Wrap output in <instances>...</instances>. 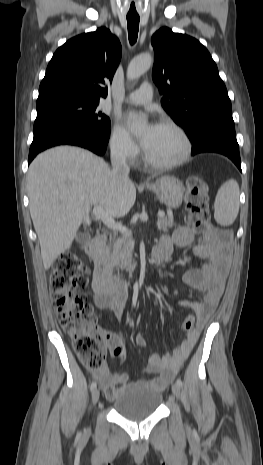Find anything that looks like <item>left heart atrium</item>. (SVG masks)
Returning <instances> with one entry per match:
<instances>
[{"label": "left heart atrium", "mask_w": 263, "mask_h": 465, "mask_svg": "<svg viewBox=\"0 0 263 465\" xmlns=\"http://www.w3.org/2000/svg\"><path fill=\"white\" fill-rule=\"evenodd\" d=\"M132 121V117H129L127 119V122L130 123ZM158 125L156 124H150L147 129L145 130L144 134L141 137V143L144 147H146L152 138L154 132L156 131Z\"/></svg>", "instance_id": "left-heart-atrium-1"}]
</instances>
